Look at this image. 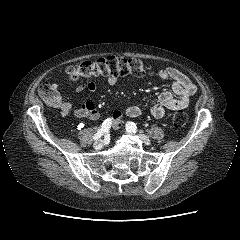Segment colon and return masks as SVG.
<instances>
[{"label": "colon", "instance_id": "obj_1", "mask_svg": "<svg viewBox=\"0 0 240 240\" xmlns=\"http://www.w3.org/2000/svg\"><path fill=\"white\" fill-rule=\"evenodd\" d=\"M151 73V66L139 59L116 56H108L97 61H85L66 70V74L72 82H79L83 79L94 77L127 75L142 77ZM39 94L50 107L59 108L61 98L52 84L43 83L39 87ZM171 120L174 126L182 127L187 122V114L182 110H175L171 115Z\"/></svg>", "mask_w": 240, "mask_h": 240}]
</instances>
